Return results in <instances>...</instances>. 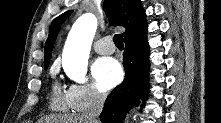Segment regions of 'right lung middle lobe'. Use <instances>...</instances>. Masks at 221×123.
<instances>
[{"label":"right lung middle lobe","mask_w":221,"mask_h":123,"mask_svg":"<svg viewBox=\"0 0 221 123\" xmlns=\"http://www.w3.org/2000/svg\"><path fill=\"white\" fill-rule=\"evenodd\" d=\"M48 65H49V63L44 64L45 69H47V68H48Z\"/></svg>","instance_id":"dd1d6c3e"}]
</instances>
